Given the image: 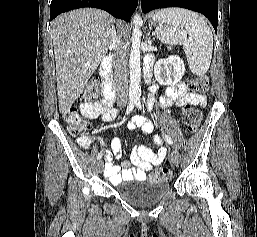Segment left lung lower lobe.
I'll return each mask as SVG.
<instances>
[{"label": "left lung lower lobe", "instance_id": "1", "mask_svg": "<svg viewBox=\"0 0 257 237\" xmlns=\"http://www.w3.org/2000/svg\"><path fill=\"white\" fill-rule=\"evenodd\" d=\"M144 13L158 8L181 7L205 15L213 25L215 32L218 25L217 0H141Z\"/></svg>", "mask_w": 257, "mask_h": 237}]
</instances>
